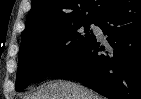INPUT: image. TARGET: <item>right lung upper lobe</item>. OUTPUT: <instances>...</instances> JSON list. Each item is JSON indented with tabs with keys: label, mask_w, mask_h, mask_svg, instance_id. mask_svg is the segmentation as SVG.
Wrapping results in <instances>:
<instances>
[{
	"label": "right lung upper lobe",
	"mask_w": 141,
	"mask_h": 99,
	"mask_svg": "<svg viewBox=\"0 0 141 99\" xmlns=\"http://www.w3.org/2000/svg\"><path fill=\"white\" fill-rule=\"evenodd\" d=\"M116 0H32L21 44L80 22L96 21Z\"/></svg>",
	"instance_id": "cb5924a9"
}]
</instances>
